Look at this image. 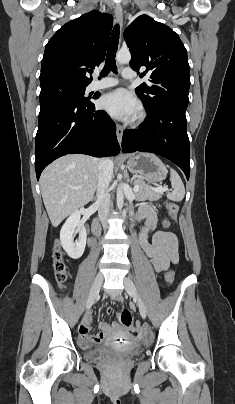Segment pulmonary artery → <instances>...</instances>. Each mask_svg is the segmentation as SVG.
I'll use <instances>...</instances> for the list:
<instances>
[{
	"label": "pulmonary artery",
	"instance_id": "obj_1",
	"mask_svg": "<svg viewBox=\"0 0 235 404\" xmlns=\"http://www.w3.org/2000/svg\"><path fill=\"white\" fill-rule=\"evenodd\" d=\"M122 75L126 79H132L135 77V72L131 68H124L122 71ZM118 84V80L116 78H102L93 81L90 86L89 90H98L113 87Z\"/></svg>",
	"mask_w": 235,
	"mask_h": 404
}]
</instances>
